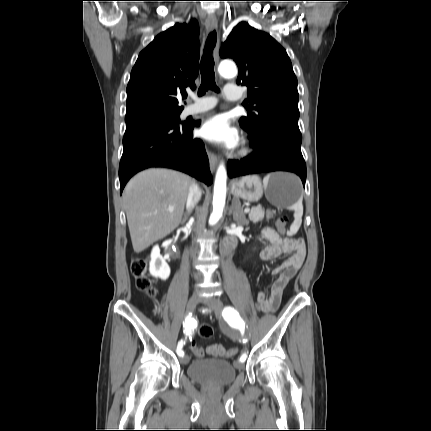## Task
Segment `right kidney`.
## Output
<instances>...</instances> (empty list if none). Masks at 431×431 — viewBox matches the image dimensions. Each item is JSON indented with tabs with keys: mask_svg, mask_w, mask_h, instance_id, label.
<instances>
[{
	"mask_svg": "<svg viewBox=\"0 0 431 431\" xmlns=\"http://www.w3.org/2000/svg\"><path fill=\"white\" fill-rule=\"evenodd\" d=\"M150 273L162 280H166L170 275V267L160 254L158 245L154 246L151 252Z\"/></svg>",
	"mask_w": 431,
	"mask_h": 431,
	"instance_id": "1",
	"label": "right kidney"
}]
</instances>
